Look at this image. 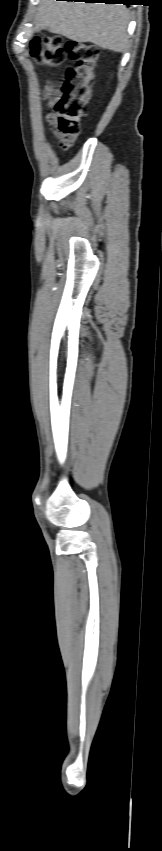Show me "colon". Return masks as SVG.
Here are the masks:
<instances>
[{
    "label": "colon",
    "instance_id": "5ec220e1",
    "mask_svg": "<svg viewBox=\"0 0 162 851\" xmlns=\"http://www.w3.org/2000/svg\"><path fill=\"white\" fill-rule=\"evenodd\" d=\"M29 50L31 56L42 64L58 66L66 56L74 62L64 70L59 101L55 105L57 130L74 142L81 131V119L86 114L98 49L75 41L63 45L61 37L45 35L33 38Z\"/></svg>",
    "mask_w": 162,
    "mask_h": 851
}]
</instances>
